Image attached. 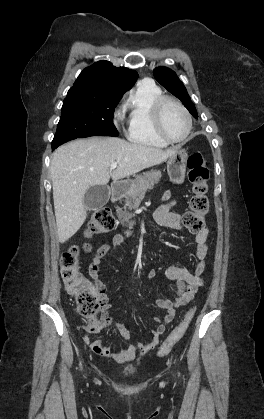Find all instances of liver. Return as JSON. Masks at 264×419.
<instances>
[{
    "label": "liver",
    "mask_w": 264,
    "mask_h": 419,
    "mask_svg": "<svg viewBox=\"0 0 264 419\" xmlns=\"http://www.w3.org/2000/svg\"><path fill=\"white\" fill-rule=\"evenodd\" d=\"M175 150L97 136L60 146L54 152L50 165L59 242L69 240L85 222L87 208L83 199L90 187L106 185L110 178L115 182L161 164ZM113 162H117L118 166L109 171Z\"/></svg>",
    "instance_id": "liver-1"
}]
</instances>
